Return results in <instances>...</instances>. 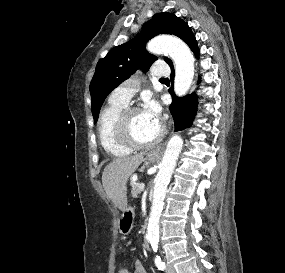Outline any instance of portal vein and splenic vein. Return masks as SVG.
<instances>
[{
    "instance_id": "obj_1",
    "label": "portal vein and splenic vein",
    "mask_w": 285,
    "mask_h": 273,
    "mask_svg": "<svg viewBox=\"0 0 285 273\" xmlns=\"http://www.w3.org/2000/svg\"><path fill=\"white\" fill-rule=\"evenodd\" d=\"M144 187H145L144 183H141V184L139 185V189H140V190H144Z\"/></svg>"
}]
</instances>
